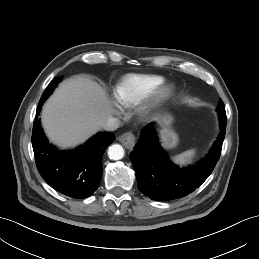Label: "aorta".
Instances as JSON below:
<instances>
[{
    "label": "aorta",
    "instance_id": "obj_1",
    "mask_svg": "<svg viewBox=\"0 0 259 259\" xmlns=\"http://www.w3.org/2000/svg\"><path fill=\"white\" fill-rule=\"evenodd\" d=\"M108 156L112 160H120L124 156V149L119 144H114L108 149Z\"/></svg>",
    "mask_w": 259,
    "mask_h": 259
}]
</instances>
